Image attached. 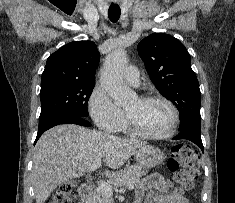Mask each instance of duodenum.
Masks as SVG:
<instances>
[{"label": "duodenum", "mask_w": 235, "mask_h": 203, "mask_svg": "<svg viewBox=\"0 0 235 203\" xmlns=\"http://www.w3.org/2000/svg\"><path fill=\"white\" fill-rule=\"evenodd\" d=\"M92 191H93V184L91 182H84L78 188L79 203H90ZM134 203H140V202L135 200Z\"/></svg>", "instance_id": "1"}]
</instances>
